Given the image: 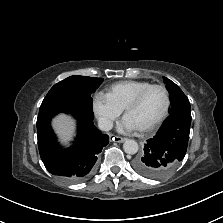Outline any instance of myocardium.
I'll return each mask as SVG.
<instances>
[{
	"mask_svg": "<svg viewBox=\"0 0 223 223\" xmlns=\"http://www.w3.org/2000/svg\"><path fill=\"white\" fill-rule=\"evenodd\" d=\"M154 88H159V89L163 90V92L165 93V96H166V105H165L164 111L162 112L160 117L155 122H153L152 124H150L148 126L137 129L141 133H147V132L155 130L168 116V113H169V110L171 107V97H170V93H169L168 89L165 86L160 85V84H151L150 86L142 89L124 108V114L126 115L129 111H131L136 106H138V104L141 102L143 97L150 90H152Z\"/></svg>",
	"mask_w": 223,
	"mask_h": 223,
	"instance_id": "1",
	"label": "myocardium"
}]
</instances>
